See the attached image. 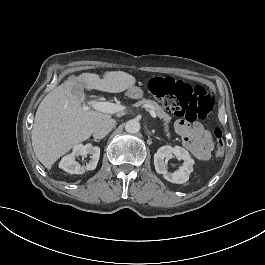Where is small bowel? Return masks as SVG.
Here are the masks:
<instances>
[{"label": "small bowel", "mask_w": 265, "mask_h": 265, "mask_svg": "<svg viewBox=\"0 0 265 265\" xmlns=\"http://www.w3.org/2000/svg\"><path fill=\"white\" fill-rule=\"evenodd\" d=\"M174 128L180 135L184 146L200 161H207L213 149L212 133L202 124H189L183 119L175 122Z\"/></svg>", "instance_id": "c3829d8e"}]
</instances>
